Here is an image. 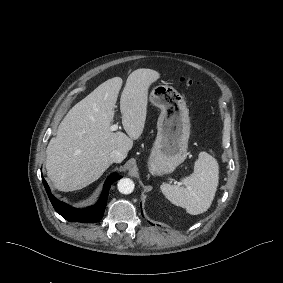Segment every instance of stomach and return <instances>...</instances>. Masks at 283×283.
I'll return each instance as SVG.
<instances>
[{"label":"stomach","mask_w":283,"mask_h":283,"mask_svg":"<svg viewBox=\"0 0 283 283\" xmlns=\"http://www.w3.org/2000/svg\"><path fill=\"white\" fill-rule=\"evenodd\" d=\"M149 99L161 109V114L148 167L153 175H163L173 172L186 159L190 136L189 110L184 97L172 86H155Z\"/></svg>","instance_id":"stomach-1"}]
</instances>
